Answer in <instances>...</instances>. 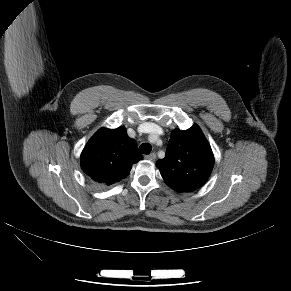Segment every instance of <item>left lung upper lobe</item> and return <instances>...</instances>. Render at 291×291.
I'll return each instance as SVG.
<instances>
[{
    "label": "left lung upper lobe",
    "mask_w": 291,
    "mask_h": 291,
    "mask_svg": "<svg viewBox=\"0 0 291 291\" xmlns=\"http://www.w3.org/2000/svg\"><path fill=\"white\" fill-rule=\"evenodd\" d=\"M213 165L211 147L196 124L188 130L174 129L165 158L156 163L169 187L184 188L188 192L207 181Z\"/></svg>",
    "instance_id": "1"
}]
</instances>
